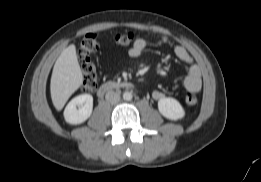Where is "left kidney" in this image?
<instances>
[{
  "label": "left kidney",
  "mask_w": 261,
  "mask_h": 182,
  "mask_svg": "<svg viewBox=\"0 0 261 182\" xmlns=\"http://www.w3.org/2000/svg\"><path fill=\"white\" fill-rule=\"evenodd\" d=\"M158 110L165 118L174 121L185 116L183 107L174 98H161L158 101Z\"/></svg>",
  "instance_id": "left-kidney-1"
}]
</instances>
